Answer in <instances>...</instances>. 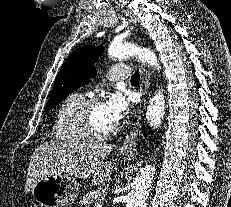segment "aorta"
I'll use <instances>...</instances> for the list:
<instances>
[{
    "mask_svg": "<svg viewBox=\"0 0 231 207\" xmlns=\"http://www.w3.org/2000/svg\"><path fill=\"white\" fill-rule=\"evenodd\" d=\"M108 55L114 59H128L138 57L143 63L159 69V62L156 55L145 48H141L132 43L111 44L108 48ZM165 115V97L162 92L156 93L147 106L146 119L148 124L153 128H158ZM155 166L146 165L136 175L131 185L126 200V207H146L148 190L151 186L155 175Z\"/></svg>",
    "mask_w": 231,
    "mask_h": 207,
    "instance_id": "obj_1",
    "label": "aorta"
}]
</instances>
